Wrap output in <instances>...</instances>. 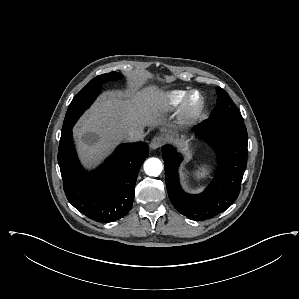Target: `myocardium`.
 I'll return each mask as SVG.
<instances>
[{
	"instance_id": "myocardium-1",
	"label": "myocardium",
	"mask_w": 299,
	"mask_h": 299,
	"mask_svg": "<svg viewBox=\"0 0 299 299\" xmlns=\"http://www.w3.org/2000/svg\"><path fill=\"white\" fill-rule=\"evenodd\" d=\"M205 100L203 95L197 91L192 90L184 96L180 106V118L183 121H188L198 117L203 111Z\"/></svg>"
}]
</instances>
